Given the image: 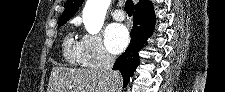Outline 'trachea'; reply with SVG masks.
<instances>
[{
  "label": "trachea",
  "instance_id": "1",
  "mask_svg": "<svg viewBox=\"0 0 225 92\" xmlns=\"http://www.w3.org/2000/svg\"><path fill=\"white\" fill-rule=\"evenodd\" d=\"M125 11L128 14V16H132V13L134 11V3L132 0H126Z\"/></svg>",
  "mask_w": 225,
  "mask_h": 92
}]
</instances>
